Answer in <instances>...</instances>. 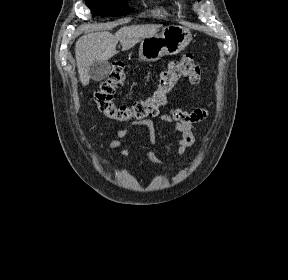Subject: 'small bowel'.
<instances>
[{
	"mask_svg": "<svg viewBox=\"0 0 288 280\" xmlns=\"http://www.w3.org/2000/svg\"><path fill=\"white\" fill-rule=\"evenodd\" d=\"M206 117L207 111L204 108H196L190 112L181 109H171L168 113L158 116L157 120L171 124L180 135V139L177 142V150L179 155H183L195 142L192 125L203 121ZM134 126H146L150 135H154L155 133V121L143 119L134 121L128 126L119 129L116 133L117 137L119 139L126 137L130 128ZM109 147L111 150H119L123 156L130 155L129 151L119 140L112 141ZM147 156L152 162L162 164L152 152H148Z\"/></svg>",
	"mask_w": 288,
	"mask_h": 280,
	"instance_id": "c3829d8e",
	"label": "small bowel"
}]
</instances>
